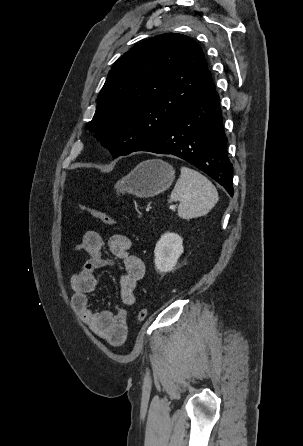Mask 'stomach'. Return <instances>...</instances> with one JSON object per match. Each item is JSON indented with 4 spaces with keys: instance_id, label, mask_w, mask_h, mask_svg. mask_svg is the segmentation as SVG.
Segmentation results:
<instances>
[{
    "instance_id": "0dacf381",
    "label": "stomach",
    "mask_w": 303,
    "mask_h": 446,
    "mask_svg": "<svg viewBox=\"0 0 303 446\" xmlns=\"http://www.w3.org/2000/svg\"><path fill=\"white\" fill-rule=\"evenodd\" d=\"M175 179V170L167 162L152 159L141 162L115 184L117 193H129L140 198L158 195Z\"/></svg>"
}]
</instances>
